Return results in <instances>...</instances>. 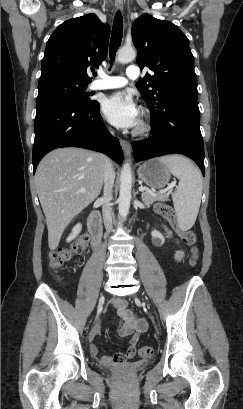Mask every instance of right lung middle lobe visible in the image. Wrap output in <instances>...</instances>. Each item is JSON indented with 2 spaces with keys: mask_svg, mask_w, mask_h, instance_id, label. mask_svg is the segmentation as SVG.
I'll use <instances>...</instances> for the list:
<instances>
[{
  "mask_svg": "<svg viewBox=\"0 0 243 409\" xmlns=\"http://www.w3.org/2000/svg\"><path fill=\"white\" fill-rule=\"evenodd\" d=\"M88 84L64 76H52L39 79L36 106L49 101H68L79 105H88L95 100L89 99L85 92Z\"/></svg>",
  "mask_w": 243,
  "mask_h": 409,
  "instance_id": "1",
  "label": "right lung middle lobe"
}]
</instances>
